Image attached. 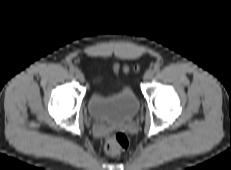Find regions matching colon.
Masks as SVG:
<instances>
[{
  "label": "colon",
  "instance_id": "1",
  "mask_svg": "<svg viewBox=\"0 0 231 170\" xmlns=\"http://www.w3.org/2000/svg\"><path fill=\"white\" fill-rule=\"evenodd\" d=\"M115 72L123 71L124 73H128L131 68L129 66H120L119 64H115L113 66ZM137 67H134L133 70H137ZM129 141L126 134L123 132H116L105 143V150L110 155H117L121 153L128 147Z\"/></svg>",
  "mask_w": 231,
  "mask_h": 170
}]
</instances>
